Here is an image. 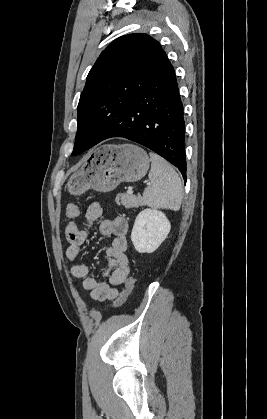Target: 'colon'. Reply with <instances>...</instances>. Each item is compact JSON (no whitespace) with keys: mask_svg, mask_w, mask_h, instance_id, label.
I'll use <instances>...</instances> for the list:
<instances>
[{"mask_svg":"<svg viewBox=\"0 0 267 419\" xmlns=\"http://www.w3.org/2000/svg\"><path fill=\"white\" fill-rule=\"evenodd\" d=\"M79 213H80V207L77 205L71 204L66 208L65 217L73 218V217L78 216ZM134 284H135V279L133 277H129L126 280L124 290L121 292L120 296L114 302L113 307L115 309L120 308L127 301L129 295L133 291Z\"/></svg>","mask_w":267,"mask_h":419,"instance_id":"obj_1","label":"colon"}]
</instances>
